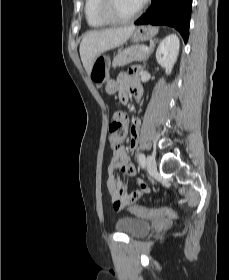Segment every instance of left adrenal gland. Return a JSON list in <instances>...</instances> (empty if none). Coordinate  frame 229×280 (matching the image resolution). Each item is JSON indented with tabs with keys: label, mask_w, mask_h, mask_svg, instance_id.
<instances>
[{
	"label": "left adrenal gland",
	"mask_w": 229,
	"mask_h": 280,
	"mask_svg": "<svg viewBox=\"0 0 229 280\" xmlns=\"http://www.w3.org/2000/svg\"><path fill=\"white\" fill-rule=\"evenodd\" d=\"M157 42H158V40L155 39V43H154L153 46L151 47V49H150V51H149L148 57L153 53L154 48H155V45H156ZM148 57H147V58H148ZM145 67H146V62H144L142 69H144Z\"/></svg>",
	"instance_id": "obj_1"
}]
</instances>
